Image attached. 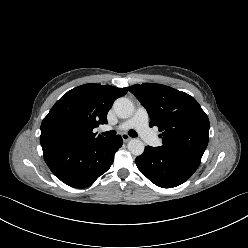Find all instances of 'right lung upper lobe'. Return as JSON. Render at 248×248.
Instances as JSON below:
<instances>
[{
    "mask_svg": "<svg viewBox=\"0 0 248 248\" xmlns=\"http://www.w3.org/2000/svg\"><path fill=\"white\" fill-rule=\"evenodd\" d=\"M127 88L84 84L68 91L52 107L41 124L40 142L48 145H77L105 139L93 129L107 124L113 102L125 95Z\"/></svg>",
    "mask_w": 248,
    "mask_h": 248,
    "instance_id": "cb5924a9",
    "label": "right lung upper lobe"
}]
</instances>
